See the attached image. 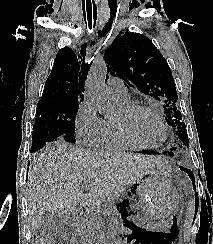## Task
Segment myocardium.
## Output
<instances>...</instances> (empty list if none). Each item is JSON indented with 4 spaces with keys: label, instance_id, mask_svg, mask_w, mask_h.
I'll list each match as a JSON object with an SVG mask.
<instances>
[{
    "label": "myocardium",
    "instance_id": "myocardium-1",
    "mask_svg": "<svg viewBox=\"0 0 213 244\" xmlns=\"http://www.w3.org/2000/svg\"><path fill=\"white\" fill-rule=\"evenodd\" d=\"M123 108L128 112V113H135L137 111H146L149 112L150 114H152L159 122V124L161 125V127L163 128V139L161 140V142L157 145H148V144H144L142 142H140L139 140H137L135 137H133L129 131L127 130V128L119 122L114 121V126L115 129L118 133V135L127 143L137 147V148H141V149H156L160 146H162L168 136V128L164 122V120L162 119L161 115L156 112L154 109H152L149 106L146 105H142V104H132V103H128L125 104L123 106Z\"/></svg>",
    "mask_w": 213,
    "mask_h": 244
}]
</instances>
